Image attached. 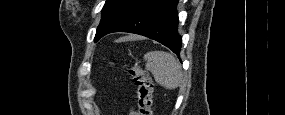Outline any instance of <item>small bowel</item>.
<instances>
[{
    "label": "small bowel",
    "mask_w": 285,
    "mask_h": 115,
    "mask_svg": "<svg viewBox=\"0 0 285 115\" xmlns=\"http://www.w3.org/2000/svg\"><path fill=\"white\" fill-rule=\"evenodd\" d=\"M129 114L130 115H136L137 113L134 110H131Z\"/></svg>",
    "instance_id": "1"
}]
</instances>
